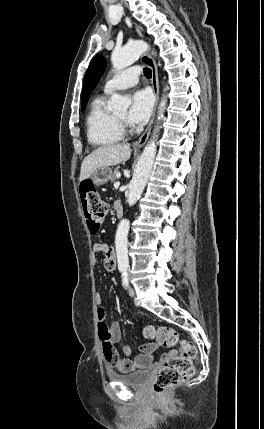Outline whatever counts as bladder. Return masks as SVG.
Instances as JSON below:
<instances>
[{
    "label": "bladder",
    "mask_w": 264,
    "mask_h": 429,
    "mask_svg": "<svg viewBox=\"0 0 264 429\" xmlns=\"http://www.w3.org/2000/svg\"><path fill=\"white\" fill-rule=\"evenodd\" d=\"M151 375L152 369L136 371L128 374H118L113 372L107 373L109 380L133 388H140L144 386L150 379Z\"/></svg>",
    "instance_id": "31cf9c89"
}]
</instances>
